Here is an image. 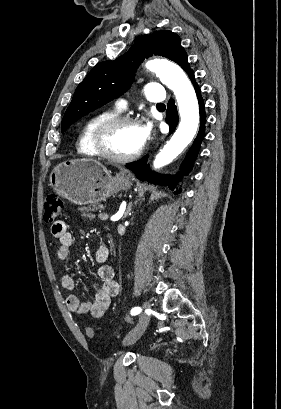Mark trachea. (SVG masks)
Instances as JSON below:
<instances>
[{
	"instance_id": "1",
	"label": "trachea",
	"mask_w": 281,
	"mask_h": 409,
	"mask_svg": "<svg viewBox=\"0 0 281 409\" xmlns=\"http://www.w3.org/2000/svg\"><path fill=\"white\" fill-rule=\"evenodd\" d=\"M157 105H164V104L160 102V104H157Z\"/></svg>"
}]
</instances>
